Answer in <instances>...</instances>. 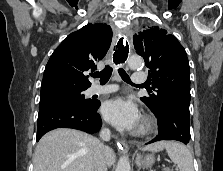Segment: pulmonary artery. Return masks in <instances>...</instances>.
<instances>
[{
    "label": "pulmonary artery",
    "instance_id": "pulmonary-artery-1",
    "mask_svg": "<svg viewBox=\"0 0 223 171\" xmlns=\"http://www.w3.org/2000/svg\"><path fill=\"white\" fill-rule=\"evenodd\" d=\"M132 80L135 84L140 85L143 84L146 80V76L143 72H135L132 76ZM117 90V87L114 85L111 86H99L93 85L89 89V93L92 95L95 94H107Z\"/></svg>",
    "mask_w": 223,
    "mask_h": 171
}]
</instances>
